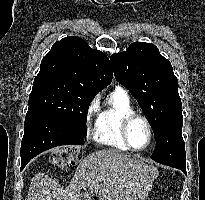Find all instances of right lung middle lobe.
Listing matches in <instances>:
<instances>
[{
	"mask_svg": "<svg viewBox=\"0 0 205 200\" xmlns=\"http://www.w3.org/2000/svg\"><path fill=\"white\" fill-rule=\"evenodd\" d=\"M95 95L81 86L62 80H34L29 108H38L51 114L85 138L87 111Z\"/></svg>",
	"mask_w": 205,
	"mask_h": 200,
	"instance_id": "dd1d6c3e",
	"label": "right lung middle lobe"
}]
</instances>
